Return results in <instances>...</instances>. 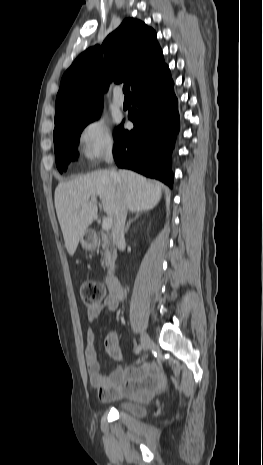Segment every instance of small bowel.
Masks as SVG:
<instances>
[{
  "mask_svg": "<svg viewBox=\"0 0 263 465\" xmlns=\"http://www.w3.org/2000/svg\"><path fill=\"white\" fill-rule=\"evenodd\" d=\"M120 298L111 292L102 303L89 307L87 317L90 323L94 322L104 309L114 311ZM95 334L92 328L86 332L85 360L91 385L98 390L99 398L103 401L122 397L148 398L161 390L165 379L157 365L145 362L136 366H118L112 372L103 374L98 361L95 347ZM105 348L110 356L121 360V350L118 336L110 333L105 339Z\"/></svg>",
  "mask_w": 263,
  "mask_h": 465,
  "instance_id": "obj_1",
  "label": "small bowel"
}]
</instances>
